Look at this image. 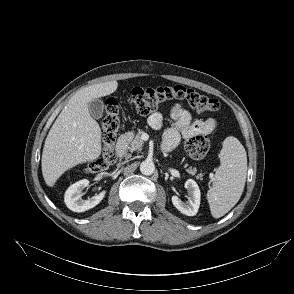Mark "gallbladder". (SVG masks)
<instances>
[{"label":"gallbladder","instance_id":"gallbladder-1","mask_svg":"<svg viewBox=\"0 0 294 294\" xmlns=\"http://www.w3.org/2000/svg\"><path fill=\"white\" fill-rule=\"evenodd\" d=\"M88 110L94 119H100L104 111V103L100 99H93L88 103Z\"/></svg>","mask_w":294,"mask_h":294}]
</instances>
